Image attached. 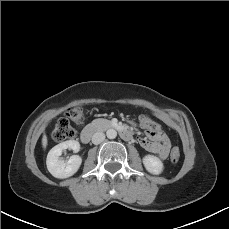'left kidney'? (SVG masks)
I'll list each match as a JSON object with an SVG mask.
<instances>
[{"mask_svg": "<svg viewBox=\"0 0 229 229\" xmlns=\"http://www.w3.org/2000/svg\"><path fill=\"white\" fill-rule=\"evenodd\" d=\"M143 164L146 170L154 175L161 174L164 168L162 161L154 155H146L143 158Z\"/></svg>", "mask_w": 229, "mask_h": 229, "instance_id": "obj_1", "label": "left kidney"}]
</instances>
